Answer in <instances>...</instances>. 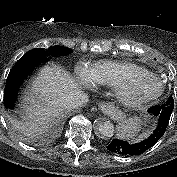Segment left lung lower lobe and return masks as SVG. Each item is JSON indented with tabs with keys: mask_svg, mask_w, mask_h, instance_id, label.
Returning a JSON list of instances; mask_svg holds the SVG:
<instances>
[{
	"mask_svg": "<svg viewBox=\"0 0 177 177\" xmlns=\"http://www.w3.org/2000/svg\"><path fill=\"white\" fill-rule=\"evenodd\" d=\"M174 108V107H173ZM171 105H156L151 107L148 112L158 118V124L153 133L141 142L130 144L127 141L120 139H113L112 142L107 146V149L113 153L132 156L138 155L157 143V141L164 135L168 126L171 114L173 112Z\"/></svg>",
	"mask_w": 177,
	"mask_h": 177,
	"instance_id": "1",
	"label": "left lung lower lobe"
}]
</instances>
